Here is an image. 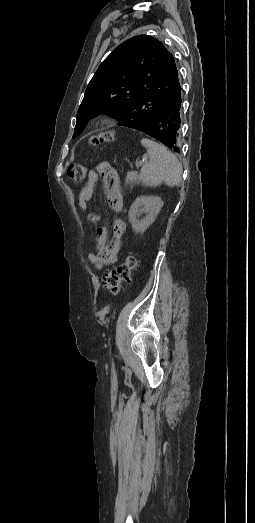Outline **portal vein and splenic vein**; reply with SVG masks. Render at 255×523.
<instances>
[{
  "mask_svg": "<svg viewBox=\"0 0 255 523\" xmlns=\"http://www.w3.org/2000/svg\"><path fill=\"white\" fill-rule=\"evenodd\" d=\"M135 165H136V168H139V167H141L143 165V162L141 160H137L135 162Z\"/></svg>",
  "mask_w": 255,
  "mask_h": 523,
  "instance_id": "portal-vein-and-splenic-vein-1",
  "label": "portal vein and splenic vein"
}]
</instances>
